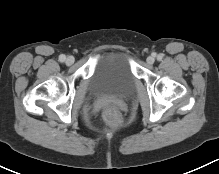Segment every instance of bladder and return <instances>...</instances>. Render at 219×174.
<instances>
[{"label":"bladder","mask_w":219,"mask_h":174,"mask_svg":"<svg viewBox=\"0 0 219 174\" xmlns=\"http://www.w3.org/2000/svg\"><path fill=\"white\" fill-rule=\"evenodd\" d=\"M90 83L96 95L128 97L136 84L129 54L121 50L104 53L96 65Z\"/></svg>","instance_id":"obj_1"}]
</instances>
